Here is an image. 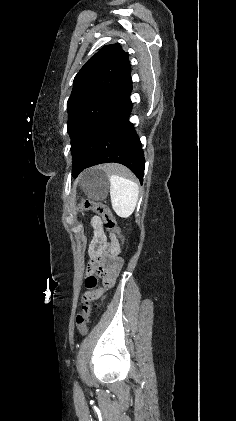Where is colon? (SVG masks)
Segmentation results:
<instances>
[{
    "mask_svg": "<svg viewBox=\"0 0 236 421\" xmlns=\"http://www.w3.org/2000/svg\"><path fill=\"white\" fill-rule=\"evenodd\" d=\"M90 210L102 217L105 229L112 231L115 234L116 242H120L122 238L121 231L109 208L102 203L93 201H84L78 206V211L80 212ZM102 270L103 267L100 258H93L90 260L85 280L86 288L90 292L95 291L98 287ZM93 307L92 301L86 297L82 303V310L76 315V325L80 335H85L88 331V324Z\"/></svg>",
    "mask_w": 236,
    "mask_h": 421,
    "instance_id": "obj_1",
    "label": "colon"
}]
</instances>
